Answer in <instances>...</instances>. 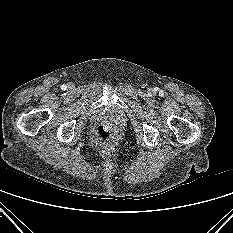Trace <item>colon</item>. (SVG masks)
I'll list each match as a JSON object with an SVG mask.
<instances>
[{
	"label": "colon",
	"instance_id": "1",
	"mask_svg": "<svg viewBox=\"0 0 233 233\" xmlns=\"http://www.w3.org/2000/svg\"><path fill=\"white\" fill-rule=\"evenodd\" d=\"M96 136L101 144L108 145L114 141L116 133L112 127L100 125L96 130Z\"/></svg>",
	"mask_w": 233,
	"mask_h": 233
}]
</instances>
